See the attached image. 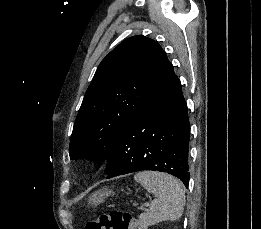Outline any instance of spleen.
Returning a JSON list of instances; mask_svg holds the SVG:
<instances>
[{"mask_svg":"<svg viewBox=\"0 0 261 229\" xmlns=\"http://www.w3.org/2000/svg\"><path fill=\"white\" fill-rule=\"evenodd\" d=\"M135 181L156 197L148 213L139 215L143 227L181 219L186 201L184 187L179 179L159 171H143L135 175Z\"/></svg>","mask_w":261,"mask_h":229,"instance_id":"spleen-1","label":"spleen"}]
</instances>
